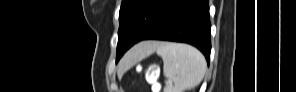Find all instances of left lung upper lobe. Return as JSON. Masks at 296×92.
Listing matches in <instances>:
<instances>
[{"label": "left lung upper lobe", "mask_w": 296, "mask_h": 92, "mask_svg": "<svg viewBox=\"0 0 296 92\" xmlns=\"http://www.w3.org/2000/svg\"><path fill=\"white\" fill-rule=\"evenodd\" d=\"M170 0H122L116 62L159 24Z\"/></svg>", "instance_id": "obj_1"}]
</instances>
